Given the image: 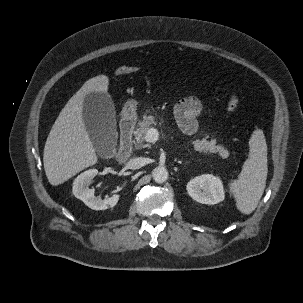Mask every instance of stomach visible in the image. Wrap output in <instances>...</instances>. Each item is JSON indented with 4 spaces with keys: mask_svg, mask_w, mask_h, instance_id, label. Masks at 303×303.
<instances>
[{
    "mask_svg": "<svg viewBox=\"0 0 303 303\" xmlns=\"http://www.w3.org/2000/svg\"><path fill=\"white\" fill-rule=\"evenodd\" d=\"M137 102L135 100L128 101L123 108V116L131 118L136 115Z\"/></svg>",
    "mask_w": 303,
    "mask_h": 303,
    "instance_id": "obj_1",
    "label": "stomach"
}]
</instances>
